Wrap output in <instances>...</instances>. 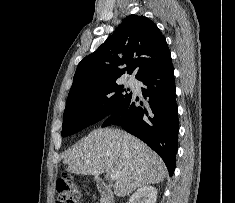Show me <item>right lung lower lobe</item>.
I'll return each mask as SVG.
<instances>
[{
  "label": "right lung lower lobe",
  "mask_w": 235,
  "mask_h": 203,
  "mask_svg": "<svg viewBox=\"0 0 235 203\" xmlns=\"http://www.w3.org/2000/svg\"><path fill=\"white\" fill-rule=\"evenodd\" d=\"M138 80L146 86L142 88V94L148 104L136 106L138 99L131 96L103 122L102 127L119 125L144 141L161 156L172 176L179 128L172 62L147 72Z\"/></svg>",
  "instance_id": "obj_1"
}]
</instances>
